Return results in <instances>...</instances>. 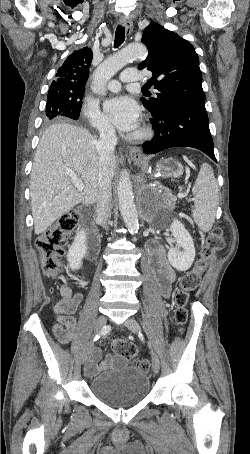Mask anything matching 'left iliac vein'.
I'll use <instances>...</instances> for the list:
<instances>
[{"mask_svg": "<svg viewBox=\"0 0 250 454\" xmlns=\"http://www.w3.org/2000/svg\"><path fill=\"white\" fill-rule=\"evenodd\" d=\"M124 325L133 333L138 334L140 332V326L138 322L133 319V318H128L125 322ZM152 358V369L155 374L159 373L160 370V361L155 352H152L151 355Z\"/></svg>", "mask_w": 250, "mask_h": 454, "instance_id": "4c4485c4", "label": "left iliac vein"}]
</instances>
